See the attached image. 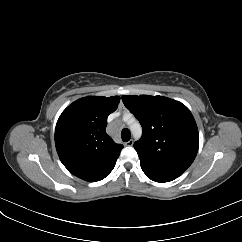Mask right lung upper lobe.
<instances>
[{
    "label": "right lung upper lobe",
    "mask_w": 242,
    "mask_h": 242,
    "mask_svg": "<svg viewBox=\"0 0 242 242\" xmlns=\"http://www.w3.org/2000/svg\"><path fill=\"white\" fill-rule=\"evenodd\" d=\"M120 97L88 96L76 100L60 115L55 145L63 165L89 182L103 179L115 166L123 148L107 135V117Z\"/></svg>",
    "instance_id": "cb5924a9"
}]
</instances>
